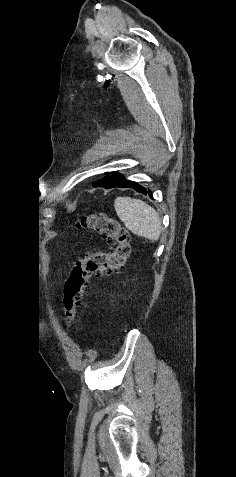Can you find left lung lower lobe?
I'll list each match as a JSON object with an SVG mask.
<instances>
[{"instance_id":"left-lung-lower-lobe-1","label":"left lung lower lobe","mask_w":236,"mask_h":477,"mask_svg":"<svg viewBox=\"0 0 236 477\" xmlns=\"http://www.w3.org/2000/svg\"><path fill=\"white\" fill-rule=\"evenodd\" d=\"M115 187L131 188V189H134L136 192L142 193L144 195L149 194V196L152 198L151 190L146 189L145 187H143L142 185H140L138 182H135V181L126 180L125 182L116 184L113 188Z\"/></svg>"}]
</instances>
